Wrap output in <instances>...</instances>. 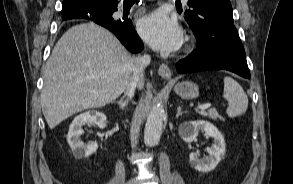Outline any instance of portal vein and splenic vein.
<instances>
[{
    "instance_id": "18ae733b",
    "label": "portal vein and splenic vein",
    "mask_w": 293,
    "mask_h": 184,
    "mask_svg": "<svg viewBox=\"0 0 293 184\" xmlns=\"http://www.w3.org/2000/svg\"><path fill=\"white\" fill-rule=\"evenodd\" d=\"M97 91H93V93H96ZM211 107V104L210 103H207V104H203V105H200L198 106V109L200 110H206V109H209Z\"/></svg>"
}]
</instances>
